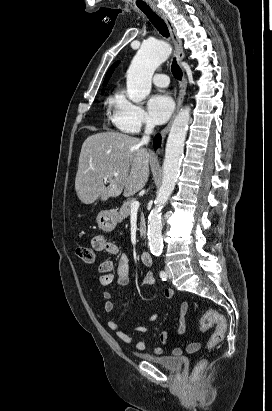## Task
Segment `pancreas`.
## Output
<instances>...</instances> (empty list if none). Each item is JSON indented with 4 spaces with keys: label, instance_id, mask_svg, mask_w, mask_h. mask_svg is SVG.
<instances>
[{
    "label": "pancreas",
    "instance_id": "1",
    "mask_svg": "<svg viewBox=\"0 0 272 411\" xmlns=\"http://www.w3.org/2000/svg\"><path fill=\"white\" fill-rule=\"evenodd\" d=\"M131 203L132 201H127L125 202L119 211V220H123L125 218H127L130 215V211H131ZM143 227H144V216L143 213H141V217H140V232H141V236L143 235Z\"/></svg>",
    "mask_w": 272,
    "mask_h": 411
}]
</instances>
